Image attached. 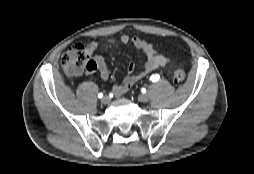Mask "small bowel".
Returning <instances> with one entry per match:
<instances>
[{"mask_svg":"<svg viewBox=\"0 0 254 174\" xmlns=\"http://www.w3.org/2000/svg\"><path fill=\"white\" fill-rule=\"evenodd\" d=\"M122 44H131L145 56L146 60L139 74H134V65L127 66L128 75L124 81L113 87L112 92L115 96H121L127 93L140 78L159 68H167L169 59L157 52L154 46L138 36L122 35L120 37ZM116 44L114 39H106L104 41H93L86 46L87 53L94 64L92 71L97 72L103 80L110 78V70L108 69L104 57L98 53L101 47H112Z\"/></svg>","mask_w":254,"mask_h":174,"instance_id":"obj_1","label":"small bowel"}]
</instances>
